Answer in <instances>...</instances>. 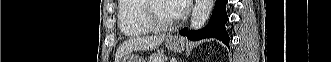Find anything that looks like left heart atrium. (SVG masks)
<instances>
[{"label": "left heart atrium", "instance_id": "1", "mask_svg": "<svg viewBox=\"0 0 331 62\" xmlns=\"http://www.w3.org/2000/svg\"><path fill=\"white\" fill-rule=\"evenodd\" d=\"M170 2L172 4L173 13L176 17L183 15L190 4V0H172Z\"/></svg>", "mask_w": 331, "mask_h": 62}]
</instances>
